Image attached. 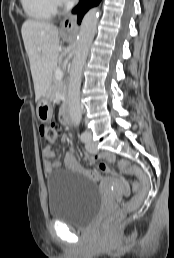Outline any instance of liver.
I'll return each instance as SVG.
<instances>
[{"label": "liver", "mask_w": 174, "mask_h": 258, "mask_svg": "<svg viewBox=\"0 0 174 258\" xmlns=\"http://www.w3.org/2000/svg\"><path fill=\"white\" fill-rule=\"evenodd\" d=\"M29 57L36 102L50 89L59 57L58 28L42 21L26 20L21 28Z\"/></svg>", "instance_id": "obj_1"}]
</instances>
